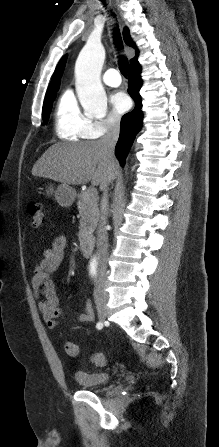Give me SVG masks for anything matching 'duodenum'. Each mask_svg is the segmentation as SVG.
Masks as SVG:
<instances>
[{"mask_svg":"<svg viewBox=\"0 0 219 447\" xmlns=\"http://www.w3.org/2000/svg\"><path fill=\"white\" fill-rule=\"evenodd\" d=\"M92 247H93V241H92V239H90V238H84V239L81 241L80 248H81L82 253H83L85 256H88V255L91 253Z\"/></svg>","mask_w":219,"mask_h":447,"instance_id":"1","label":"duodenum"}]
</instances>
